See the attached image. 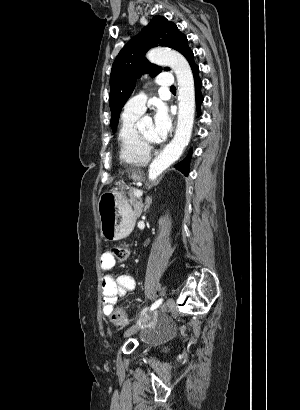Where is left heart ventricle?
<instances>
[{
	"mask_svg": "<svg viewBox=\"0 0 300 410\" xmlns=\"http://www.w3.org/2000/svg\"><path fill=\"white\" fill-rule=\"evenodd\" d=\"M140 130L148 139L154 141L153 124L151 122L143 125Z\"/></svg>",
	"mask_w": 300,
	"mask_h": 410,
	"instance_id": "1",
	"label": "left heart ventricle"
}]
</instances>
